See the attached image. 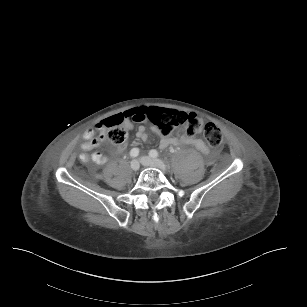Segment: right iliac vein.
Returning a JSON list of instances; mask_svg holds the SVG:
<instances>
[{"label": "right iliac vein", "instance_id": "obj_1", "mask_svg": "<svg viewBox=\"0 0 307 307\" xmlns=\"http://www.w3.org/2000/svg\"><path fill=\"white\" fill-rule=\"evenodd\" d=\"M130 167H131L132 171L136 172L140 168V163L138 162V160L134 159V160L131 161Z\"/></svg>", "mask_w": 307, "mask_h": 307}]
</instances>
